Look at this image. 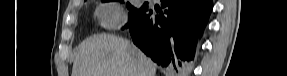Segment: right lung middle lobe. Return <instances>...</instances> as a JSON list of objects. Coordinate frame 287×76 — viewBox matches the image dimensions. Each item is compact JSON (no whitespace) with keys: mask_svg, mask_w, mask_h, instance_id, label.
<instances>
[{"mask_svg":"<svg viewBox=\"0 0 287 76\" xmlns=\"http://www.w3.org/2000/svg\"><path fill=\"white\" fill-rule=\"evenodd\" d=\"M112 0H103V2H109ZM122 2V0H120ZM127 8L129 9V22L125 25V28L129 27L137 18L145 14L148 9L147 4H144L141 8L137 9L133 7L130 3L126 4Z\"/></svg>","mask_w":287,"mask_h":76,"instance_id":"right-lung-middle-lobe-1","label":"right lung middle lobe"}]
</instances>
